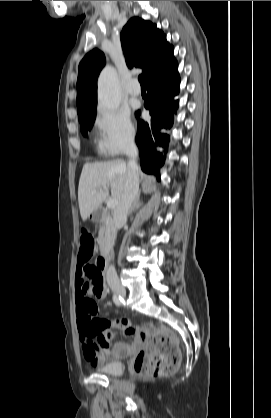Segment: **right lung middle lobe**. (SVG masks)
<instances>
[{"instance_id": "right-lung-middle-lobe-1", "label": "right lung middle lobe", "mask_w": 271, "mask_h": 418, "mask_svg": "<svg viewBox=\"0 0 271 418\" xmlns=\"http://www.w3.org/2000/svg\"><path fill=\"white\" fill-rule=\"evenodd\" d=\"M95 114H96V108L78 117L80 125H81L80 129L84 136H86L87 131L92 128L94 121H95Z\"/></svg>"}]
</instances>
